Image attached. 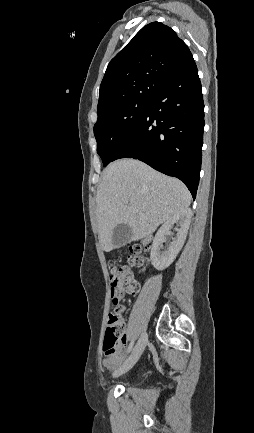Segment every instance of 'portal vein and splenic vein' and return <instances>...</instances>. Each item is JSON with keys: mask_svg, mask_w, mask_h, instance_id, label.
<instances>
[{"mask_svg": "<svg viewBox=\"0 0 254 433\" xmlns=\"http://www.w3.org/2000/svg\"><path fill=\"white\" fill-rule=\"evenodd\" d=\"M134 211L138 212V210H137V209H134Z\"/></svg>", "mask_w": 254, "mask_h": 433, "instance_id": "18ae733b", "label": "portal vein and splenic vein"}]
</instances>
